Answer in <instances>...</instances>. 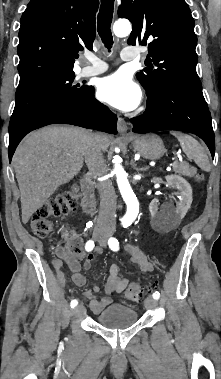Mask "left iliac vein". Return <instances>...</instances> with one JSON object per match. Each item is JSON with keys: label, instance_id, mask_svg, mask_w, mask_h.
Wrapping results in <instances>:
<instances>
[{"label": "left iliac vein", "instance_id": "4c4485c4", "mask_svg": "<svg viewBox=\"0 0 221 379\" xmlns=\"http://www.w3.org/2000/svg\"><path fill=\"white\" fill-rule=\"evenodd\" d=\"M100 245L105 247L106 246V241L105 240H100L99 241ZM145 307L147 309H154L157 305V300L154 299L153 297H147V299L145 300Z\"/></svg>", "mask_w": 221, "mask_h": 379}]
</instances>
